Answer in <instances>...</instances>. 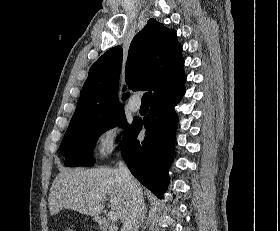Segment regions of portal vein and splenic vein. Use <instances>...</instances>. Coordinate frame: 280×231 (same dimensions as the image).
I'll return each mask as SVG.
<instances>
[{
    "label": "portal vein and splenic vein",
    "mask_w": 280,
    "mask_h": 231,
    "mask_svg": "<svg viewBox=\"0 0 280 231\" xmlns=\"http://www.w3.org/2000/svg\"><path fill=\"white\" fill-rule=\"evenodd\" d=\"M109 221H117L118 215L116 211H108L107 213Z\"/></svg>",
    "instance_id": "18ae733b"
}]
</instances>
